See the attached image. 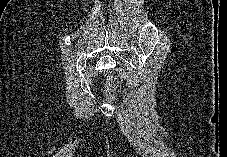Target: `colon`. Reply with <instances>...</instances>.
Instances as JSON below:
<instances>
[{"label": "colon", "mask_w": 227, "mask_h": 157, "mask_svg": "<svg viewBox=\"0 0 227 157\" xmlns=\"http://www.w3.org/2000/svg\"><path fill=\"white\" fill-rule=\"evenodd\" d=\"M118 85V76L114 72L110 73L107 80V90L112 94L117 89Z\"/></svg>", "instance_id": "5ec220e1"}]
</instances>
